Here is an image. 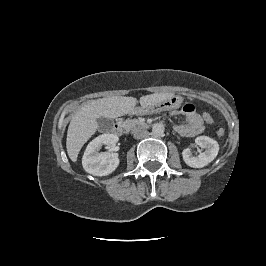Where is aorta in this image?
<instances>
[{
    "instance_id": "aorta-1",
    "label": "aorta",
    "mask_w": 266,
    "mask_h": 266,
    "mask_svg": "<svg viewBox=\"0 0 266 266\" xmlns=\"http://www.w3.org/2000/svg\"><path fill=\"white\" fill-rule=\"evenodd\" d=\"M165 127L162 123H156L152 126V133L156 136L163 135Z\"/></svg>"
}]
</instances>
